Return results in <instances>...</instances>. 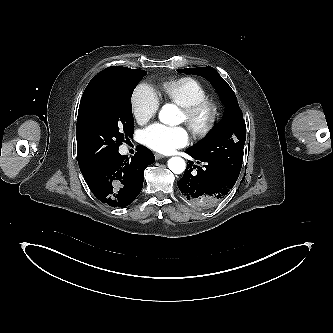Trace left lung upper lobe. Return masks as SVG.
I'll return each instance as SVG.
<instances>
[{
    "label": "left lung upper lobe",
    "instance_id": "1",
    "mask_svg": "<svg viewBox=\"0 0 333 333\" xmlns=\"http://www.w3.org/2000/svg\"><path fill=\"white\" fill-rule=\"evenodd\" d=\"M207 79L220 94L226 107L224 122L209 138L190 150L198 157L221 167L238 178L242 167V155L246 140V125L235 93L228 83L212 67L177 70Z\"/></svg>",
    "mask_w": 333,
    "mask_h": 333
}]
</instances>
